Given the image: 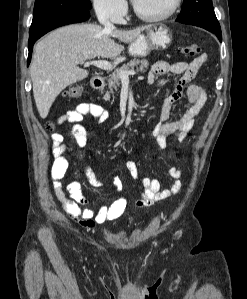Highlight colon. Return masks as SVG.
I'll list each match as a JSON object with an SVG mask.
<instances>
[{
    "instance_id": "1",
    "label": "colon",
    "mask_w": 247,
    "mask_h": 299,
    "mask_svg": "<svg viewBox=\"0 0 247 299\" xmlns=\"http://www.w3.org/2000/svg\"><path fill=\"white\" fill-rule=\"evenodd\" d=\"M199 52H200V47L196 44L184 46L180 49V53L184 56H193ZM82 92H83V89L80 85H73L66 90L65 96H67L68 98H71V99H77V98L81 97ZM53 128H54V125L52 122L46 123L47 130L51 131V130H53Z\"/></svg>"
}]
</instances>
